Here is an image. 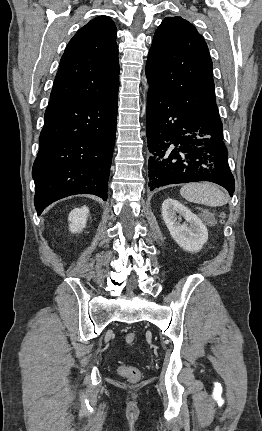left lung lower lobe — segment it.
I'll list each match as a JSON object with an SVG mask.
<instances>
[{
    "label": "left lung lower lobe",
    "instance_id": "obj_1",
    "mask_svg": "<svg viewBox=\"0 0 262 431\" xmlns=\"http://www.w3.org/2000/svg\"><path fill=\"white\" fill-rule=\"evenodd\" d=\"M146 115L150 190L169 184L210 181L233 195L235 181L228 165L222 125L200 123L187 109L152 86Z\"/></svg>",
    "mask_w": 262,
    "mask_h": 431
}]
</instances>
